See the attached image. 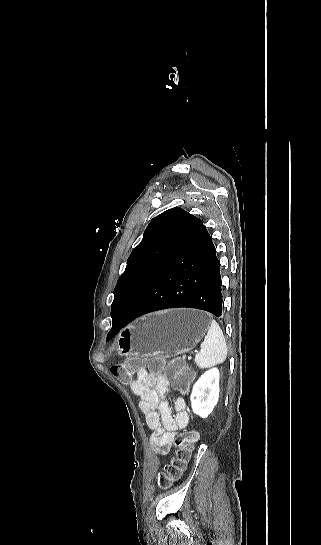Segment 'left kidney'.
Listing matches in <instances>:
<instances>
[{"instance_id":"obj_1","label":"left kidney","mask_w":321,"mask_h":545,"mask_svg":"<svg viewBox=\"0 0 321 545\" xmlns=\"http://www.w3.org/2000/svg\"><path fill=\"white\" fill-rule=\"evenodd\" d=\"M219 377L218 369H210L193 385L190 397L192 411L202 419H206L218 403Z\"/></svg>"}]
</instances>
